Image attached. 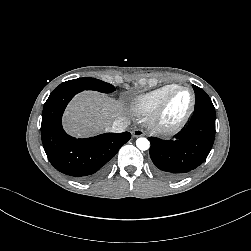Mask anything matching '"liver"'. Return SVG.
<instances>
[{
  "instance_id": "1",
  "label": "liver",
  "mask_w": 251,
  "mask_h": 251,
  "mask_svg": "<svg viewBox=\"0 0 251 251\" xmlns=\"http://www.w3.org/2000/svg\"><path fill=\"white\" fill-rule=\"evenodd\" d=\"M120 118L127 120L122 103L104 94L86 91L77 95L68 106L64 125L70 134L83 137L108 131L112 123Z\"/></svg>"
}]
</instances>
